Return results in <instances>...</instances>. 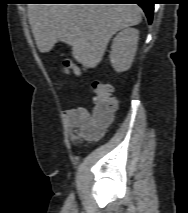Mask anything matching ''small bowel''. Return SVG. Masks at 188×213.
I'll use <instances>...</instances> for the list:
<instances>
[{
	"label": "small bowel",
	"instance_id": "small-bowel-1",
	"mask_svg": "<svg viewBox=\"0 0 188 213\" xmlns=\"http://www.w3.org/2000/svg\"><path fill=\"white\" fill-rule=\"evenodd\" d=\"M65 116L70 130L75 131V134H72V136L78 135L87 140H95L101 137L110 124L94 126L89 110L84 107L66 110Z\"/></svg>",
	"mask_w": 188,
	"mask_h": 213
}]
</instances>
